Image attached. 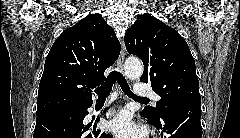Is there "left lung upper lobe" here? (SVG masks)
<instances>
[{"mask_svg":"<svg viewBox=\"0 0 240 138\" xmlns=\"http://www.w3.org/2000/svg\"><path fill=\"white\" fill-rule=\"evenodd\" d=\"M129 54L138 56L144 64L141 81L151 87L161 100L156 108L143 111L159 118L171 103L195 99L201 101L195 61L186 41L174 29L149 14L138 16L125 35Z\"/></svg>","mask_w":240,"mask_h":138,"instance_id":"5c2ea615","label":"left lung upper lobe"}]
</instances>
